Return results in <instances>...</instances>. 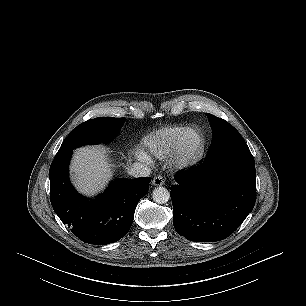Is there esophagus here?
<instances>
[{"mask_svg": "<svg viewBox=\"0 0 306 306\" xmlns=\"http://www.w3.org/2000/svg\"><path fill=\"white\" fill-rule=\"evenodd\" d=\"M152 184L154 186H161L164 184V179L161 175H158L156 177H154L153 181H152Z\"/></svg>", "mask_w": 306, "mask_h": 306, "instance_id": "obj_1", "label": "esophagus"}]
</instances>
